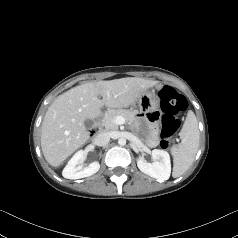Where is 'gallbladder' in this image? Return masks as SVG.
Returning <instances> with one entry per match:
<instances>
[{"mask_svg":"<svg viewBox=\"0 0 238 238\" xmlns=\"http://www.w3.org/2000/svg\"><path fill=\"white\" fill-rule=\"evenodd\" d=\"M84 125L86 128H91V126L93 125V121L91 119H87L85 120Z\"/></svg>","mask_w":238,"mask_h":238,"instance_id":"gallbladder-1","label":"gallbladder"}]
</instances>
